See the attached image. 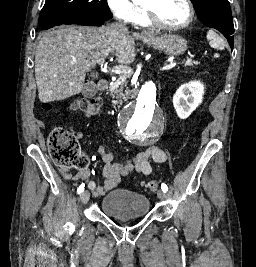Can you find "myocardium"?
<instances>
[{"label":"myocardium","instance_id":"obj_1","mask_svg":"<svg viewBox=\"0 0 256 267\" xmlns=\"http://www.w3.org/2000/svg\"><path fill=\"white\" fill-rule=\"evenodd\" d=\"M178 1L182 2L188 9V17L183 23L178 24V25H164V26L153 25L151 23L152 22V9L149 6V1H147L145 3V7H146V11H147V13H146L147 22L146 23L148 25L156 27L159 30L169 31V32L178 31V30H182V29L187 28L194 20L195 10H194L192 3L189 0H178Z\"/></svg>","mask_w":256,"mask_h":267}]
</instances>
